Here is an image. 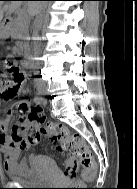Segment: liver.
<instances>
[{"mask_svg": "<svg viewBox=\"0 0 137 189\" xmlns=\"http://www.w3.org/2000/svg\"><path fill=\"white\" fill-rule=\"evenodd\" d=\"M4 2L0 1V22L3 19L4 14H11L16 8L21 5L20 1H11L3 4ZM44 4L38 2H29V11L31 13H36L39 9L43 7Z\"/></svg>", "mask_w": 137, "mask_h": 189, "instance_id": "obj_1", "label": "liver"}]
</instances>
